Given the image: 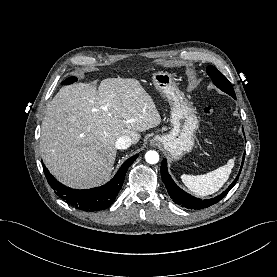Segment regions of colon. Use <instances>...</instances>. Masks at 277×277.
<instances>
[{
  "label": "colon",
  "mask_w": 277,
  "mask_h": 277,
  "mask_svg": "<svg viewBox=\"0 0 277 277\" xmlns=\"http://www.w3.org/2000/svg\"><path fill=\"white\" fill-rule=\"evenodd\" d=\"M76 82V78L75 77H67L64 81L63 84L68 86V85H72ZM214 113V109L210 106L204 107L202 110V114L204 116H210Z\"/></svg>",
  "instance_id": "colon-1"
}]
</instances>
